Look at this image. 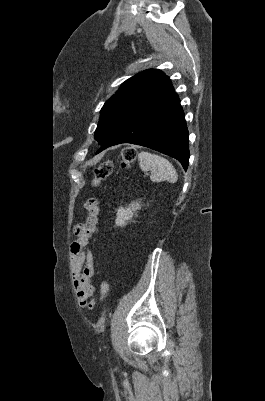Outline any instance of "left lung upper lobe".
Here are the masks:
<instances>
[{
	"mask_svg": "<svg viewBox=\"0 0 265 401\" xmlns=\"http://www.w3.org/2000/svg\"><path fill=\"white\" fill-rule=\"evenodd\" d=\"M172 87L160 70H145L126 80L100 112L95 140L104 143L136 112Z\"/></svg>",
	"mask_w": 265,
	"mask_h": 401,
	"instance_id": "left-lung-upper-lobe-1",
	"label": "left lung upper lobe"
}]
</instances>
